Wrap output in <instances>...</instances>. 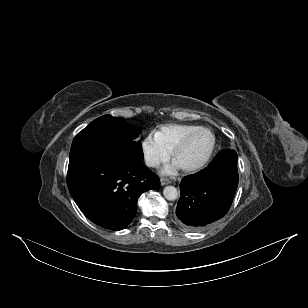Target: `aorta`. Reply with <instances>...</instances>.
<instances>
[{"mask_svg":"<svg viewBox=\"0 0 308 308\" xmlns=\"http://www.w3.org/2000/svg\"><path fill=\"white\" fill-rule=\"evenodd\" d=\"M163 195L167 200L173 201L178 197V191L174 186H166Z\"/></svg>","mask_w":308,"mask_h":308,"instance_id":"aorta-1","label":"aorta"}]
</instances>
